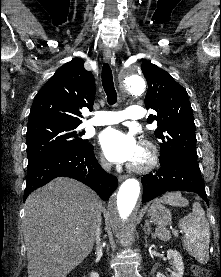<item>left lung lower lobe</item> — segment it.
<instances>
[{
	"mask_svg": "<svg viewBox=\"0 0 221 277\" xmlns=\"http://www.w3.org/2000/svg\"><path fill=\"white\" fill-rule=\"evenodd\" d=\"M160 165L156 173L142 177V202L150 201L165 192L183 190L197 193L208 204L201 171L180 162L160 163Z\"/></svg>",
	"mask_w": 221,
	"mask_h": 277,
	"instance_id": "0a47b994",
	"label": "left lung lower lobe"
}]
</instances>
